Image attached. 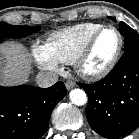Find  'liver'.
Segmentation results:
<instances>
[{"label":"liver","mask_w":139,"mask_h":139,"mask_svg":"<svg viewBox=\"0 0 139 139\" xmlns=\"http://www.w3.org/2000/svg\"><path fill=\"white\" fill-rule=\"evenodd\" d=\"M30 71V57L23 45L14 42H5L0 45L1 85L14 86L25 83Z\"/></svg>","instance_id":"1"}]
</instances>
